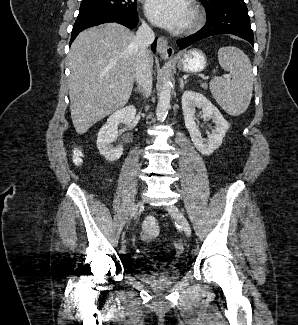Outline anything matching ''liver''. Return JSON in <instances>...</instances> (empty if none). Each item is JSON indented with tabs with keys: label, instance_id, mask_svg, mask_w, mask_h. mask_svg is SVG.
Wrapping results in <instances>:
<instances>
[{
	"label": "liver",
	"instance_id": "6515ba94",
	"mask_svg": "<svg viewBox=\"0 0 298 325\" xmlns=\"http://www.w3.org/2000/svg\"><path fill=\"white\" fill-rule=\"evenodd\" d=\"M137 36L117 22L82 30L69 50L70 112L77 134L127 104L135 80ZM153 64V56L150 58Z\"/></svg>",
	"mask_w": 298,
	"mask_h": 325
}]
</instances>
